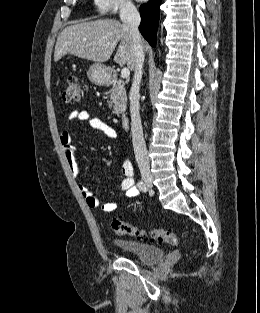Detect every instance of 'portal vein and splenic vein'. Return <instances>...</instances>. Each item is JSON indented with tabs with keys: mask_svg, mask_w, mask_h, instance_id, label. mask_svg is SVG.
<instances>
[{
	"mask_svg": "<svg viewBox=\"0 0 260 313\" xmlns=\"http://www.w3.org/2000/svg\"><path fill=\"white\" fill-rule=\"evenodd\" d=\"M130 75V71L128 68H123L122 71H121V77L122 78H128Z\"/></svg>",
	"mask_w": 260,
	"mask_h": 313,
	"instance_id": "18ae733b",
	"label": "portal vein and splenic vein"
}]
</instances>
